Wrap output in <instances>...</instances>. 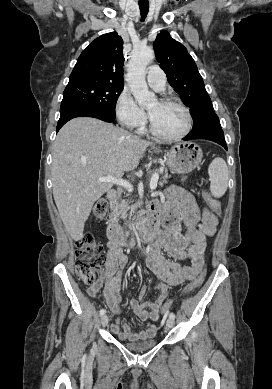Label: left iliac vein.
<instances>
[{"mask_svg": "<svg viewBox=\"0 0 272 389\" xmlns=\"http://www.w3.org/2000/svg\"><path fill=\"white\" fill-rule=\"evenodd\" d=\"M166 326H167L168 328H172V327L174 326V320H173V319H168V320L166 321Z\"/></svg>", "mask_w": 272, "mask_h": 389, "instance_id": "1", "label": "left iliac vein"}]
</instances>
